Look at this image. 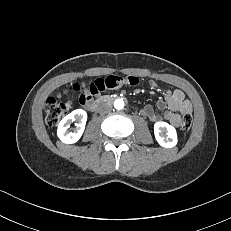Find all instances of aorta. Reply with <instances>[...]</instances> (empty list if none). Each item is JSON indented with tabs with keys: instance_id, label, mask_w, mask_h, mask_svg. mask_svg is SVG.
Here are the masks:
<instances>
[{
	"instance_id": "1",
	"label": "aorta",
	"mask_w": 231,
	"mask_h": 231,
	"mask_svg": "<svg viewBox=\"0 0 231 231\" xmlns=\"http://www.w3.org/2000/svg\"><path fill=\"white\" fill-rule=\"evenodd\" d=\"M114 107L117 110H121L124 108V101L122 99H116L114 101Z\"/></svg>"
}]
</instances>
